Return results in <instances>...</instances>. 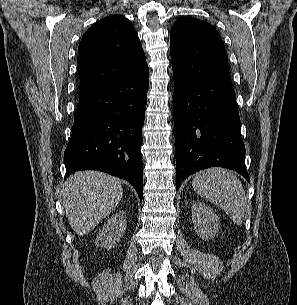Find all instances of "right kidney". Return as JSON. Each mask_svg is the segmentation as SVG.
<instances>
[{"label": "right kidney", "mask_w": 297, "mask_h": 305, "mask_svg": "<svg viewBox=\"0 0 297 305\" xmlns=\"http://www.w3.org/2000/svg\"><path fill=\"white\" fill-rule=\"evenodd\" d=\"M126 223L125 211L122 210L113 214L97 235L96 244L106 249L115 247L124 234Z\"/></svg>", "instance_id": "right-kidney-1"}]
</instances>
